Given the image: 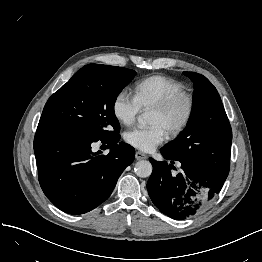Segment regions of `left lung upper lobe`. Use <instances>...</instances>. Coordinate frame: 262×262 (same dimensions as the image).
<instances>
[{"label":"left lung upper lobe","mask_w":262,"mask_h":262,"mask_svg":"<svg viewBox=\"0 0 262 262\" xmlns=\"http://www.w3.org/2000/svg\"><path fill=\"white\" fill-rule=\"evenodd\" d=\"M194 84L193 106L185 130L161 150L193 164L205 173L221 172L229 165L232 130L221 98L203 75L184 72Z\"/></svg>","instance_id":"obj_1"}]
</instances>
